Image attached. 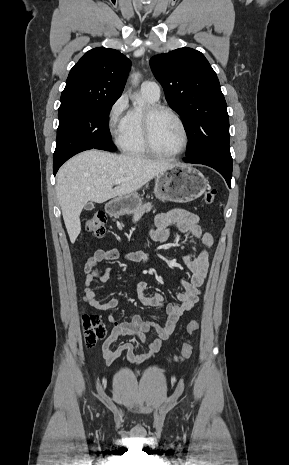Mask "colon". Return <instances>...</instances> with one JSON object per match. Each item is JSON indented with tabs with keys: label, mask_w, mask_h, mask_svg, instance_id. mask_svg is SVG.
Masks as SVG:
<instances>
[{
	"label": "colon",
	"mask_w": 289,
	"mask_h": 465,
	"mask_svg": "<svg viewBox=\"0 0 289 465\" xmlns=\"http://www.w3.org/2000/svg\"><path fill=\"white\" fill-rule=\"evenodd\" d=\"M216 190L214 188L209 189L204 195V201L206 204H212L216 199ZM106 216L103 212H97L93 214L86 221V229L92 235L96 237L103 236L105 232ZM83 323V337L85 345L92 347L97 341L101 340L105 334L106 329L101 323L99 317L93 313H85L82 315ZM199 329V323L197 321H191L187 327L186 332L188 336L192 335ZM193 352V347L189 339L183 343L180 354L175 356V361L183 362L187 360Z\"/></svg>",
	"instance_id": "colon-1"
}]
</instances>
